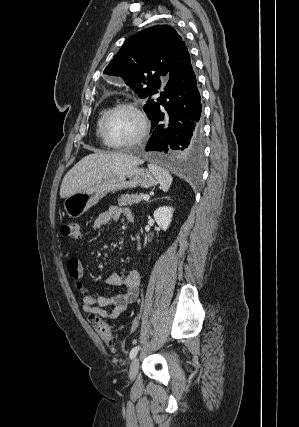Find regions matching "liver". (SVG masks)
Wrapping results in <instances>:
<instances>
[{
    "instance_id": "liver-1",
    "label": "liver",
    "mask_w": 299,
    "mask_h": 427,
    "mask_svg": "<svg viewBox=\"0 0 299 427\" xmlns=\"http://www.w3.org/2000/svg\"><path fill=\"white\" fill-rule=\"evenodd\" d=\"M144 160L117 152H95L83 157L64 176L60 197L67 198L112 175L142 164Z\"/></svg>"
}]
</instances>
